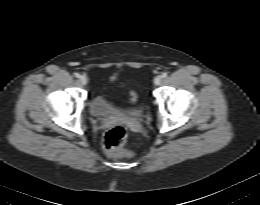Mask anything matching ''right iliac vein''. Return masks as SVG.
<instances>
[{
    "label": "right iliac vein",
    "mask_w": 260,
    "mask_h": 205,
    "mask_svg": "<svg viewBox=\"0 0 260 205\" xmlns=\"http://www.w3.org/2000/svg\"><path fill=\"white\" fill-rule=\"evenodd\" d=\"M79 81L82 85H86L88 83V79L86 76H80Z\"/></svg>",
    "instance_id": "63e3f726"
}]
</instances>
